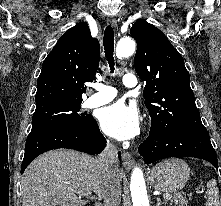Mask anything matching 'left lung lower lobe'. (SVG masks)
<instances>
[{
  "instance_id": "1",
  "label": "left lung lower lobe",
  "mask_w": 221,
  "mask_h": 206,
  "mask_svg": "<svg viewBox=\"0 0 221 206\" xmlns=\"http://www.w3.org/2000/svg\"><path fill=\"white\" fill-rule=\"evenodd\" d=\"M138 151L146 164L168 157L185 156L207 160L218 169L216 152L205 128L149 135Z\"/></svg>"
}]
</instances>
